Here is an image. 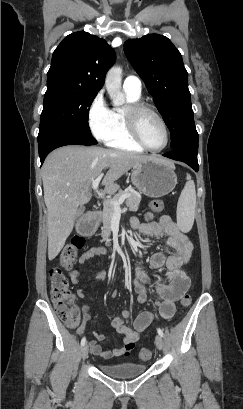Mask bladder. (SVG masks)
<instances>
[{"instance_id":"1","label":"bladder","mask_w":243,"mask_h":409,"mask_svg":"<svg viewBox=\"0 0 243 409\" xmlns=\"http://www.w3.org/2000/svg\"><path fill=\"white\" fill-rule=\"evenodd\" d=\"M100 371L111 378L126 380L142 375L146 369V364H139L132 361L121 363H99Z\"/></svg>"}]
</instances>
